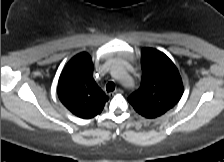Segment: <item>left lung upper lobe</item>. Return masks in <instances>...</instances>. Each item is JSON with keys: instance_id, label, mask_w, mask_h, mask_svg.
I'll list each match as a JSON object with an SVG mask.
<instances>
[{"instance_id": "1", "label": "left lung upper lobe", "mask_w": 224, "mask_h": 162, "mask_svg": "<svg viewBox=\"0 0 224 162\" xmlns=\"http://www.w3.org/2000/svg\"><path fill=\"white\" fill-rule=\"evenodd\" d=\"M141 63V86L127 100L142 116L156 118L180 100L182 79L174 63L156 49L143 48Z\"/></svg>"}]
</instances>
